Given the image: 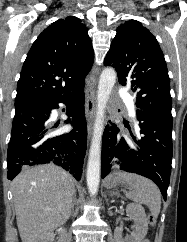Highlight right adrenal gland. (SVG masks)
<instances>
[{
	"label": "right adrenal gland",
	"instance_id": "obj_1",
	"mask_svg": "<svg viewBox=\"0 0 187 242\" xmlns=\"http://www.w3.org/2000/svg\"><path fill=\"white\" fill-rule=\"evenodd\" d=\"M76 200H77V198H76V192H75L74 195H73V201H72V206H71L72 212L70 213V215H73V211H74V206L76 204Z\"/></svg>",
	"mask_w": 187,
	"mask_h": 242
}]
</instances>
